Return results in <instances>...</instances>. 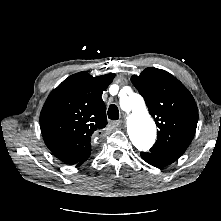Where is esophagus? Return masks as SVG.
Listing matches in <instances>:
<instances>
[{"mask_svg":"<svg viewBox=\"0 0 221 221\" xmlns=\"http://www.w3.org/2000/svg\"><path fill=\"white\" fill-rule=\"evenodd\" d=\"M121 124H122V121H112V122L110 123V125H111L113 128L119 127V126H121Z\"/></svg>","mask_w":221,"mask_h":221,"instance_id":"esophagus-1","label":"esophagus"}]
</instances>
